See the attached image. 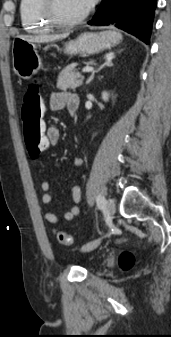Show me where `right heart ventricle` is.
Returning a JSON list of instances; mask_svg holds the SVG:
<instances>
[{"label": "right heart ventricle", "instance_id": "obj_1", "mask_svg": "<svg viewBox=\"0 0 171 337\" xmlns=\"http://www.w3.org/2000/svg\"><path fill=\"white\" fill-rule=\"evenodd\" d=\"M20 18L27 31H46L52 27L44 17L41 0H20Z\"/></svg>", "mask_w": 171, "mask_h": 337}]
</instances>
